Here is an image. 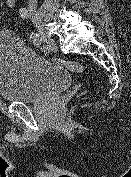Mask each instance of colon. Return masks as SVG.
Returning a JSON list of instances; mask_svg holds the SVG:
<instances>
[{
	"instance_id": "5ec220e1",
	"label": "colon",
	"mask_w": 131,
	"mask_h": 177,
	"mask_svg": "<svg viewBox=\"0 0 131 177\" xmlns=\"http://www.w3.org/2000/svg\"><path fill=\"white\" fill-rule=\"evenodd\" d=\"M1 2V9L3 13H6L8 15H12L16 12L17 8V0H0ZM52 62L63 66L64 68L75 72V73H85V67L77 62L73 61H67V60H61V59H51Z\"/></svg>"
}]
</instances>
